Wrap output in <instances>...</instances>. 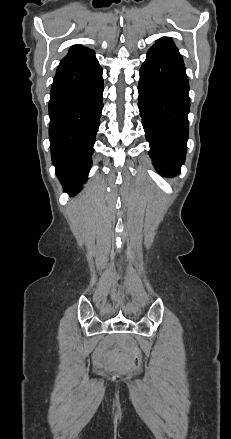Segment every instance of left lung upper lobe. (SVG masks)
<instances>
[{
    "label": "left lung upper lobe",
    "mask_w": 231,
    "mask_h": 439,
    "mask_svg": "<svg viewBox=\"0 0 231 439\" xmlns=\"http://www.w3.org/2000/svg\"><path fill=\"white\" fill-rule=\"evenodd\" d=\"M153 46L178 51V49L173 44L172 39L169 37H162V38L158 39L157 42Z\"/></svg>",
    "instance_id": "1"
}]
</instances>
